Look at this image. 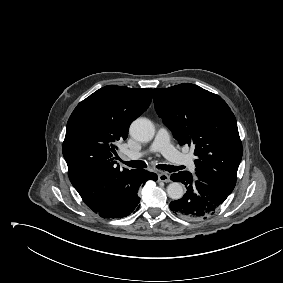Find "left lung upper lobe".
I'll use <instances>...</instances> for the list:
<instances>
[{
  "label": "left lung upper lobe",
  "instance_id": "left-lung-upper-lobe-1",
  "mask_svg": "<svg viewBox=\"0 0 283 283\" xmlns=\"http://www.w3.org/2000/svg\"><path fill=\"white\" fill-rule=\"evenodd\" d=\"M153 100L179 144L195 149L197 180L230 195L243 150L235 116L226 102L191 83L154 89Z\"/></svg>",
  "mask_w": 283,
  "mask_h": 283
}]
</instances>
